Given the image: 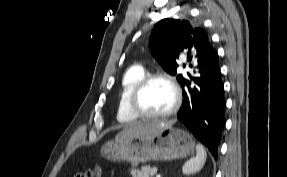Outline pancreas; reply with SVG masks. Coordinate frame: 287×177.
<instances>
[{
	"mask_svg": "<svg viewBox=\"0 0 287 177\" xmlns=\"http://www.w3.org/2000/svg\"><path fill=\"white\" fill-rule=\"evenodd\" d=\"M157 172L156 167L143 166L140 170L133 168L131 175L133 177H151Z\"/></svg>",
	"mask_w": 287,
	"mask_h": 177,
	"instance_id": "obj_1",
	"label": "pancreas"
}]
</instances>
